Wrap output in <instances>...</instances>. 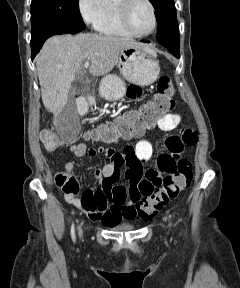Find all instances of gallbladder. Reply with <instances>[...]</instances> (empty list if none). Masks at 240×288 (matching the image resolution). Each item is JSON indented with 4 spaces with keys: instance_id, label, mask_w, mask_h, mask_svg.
I'll list each match as a JSON object with an SVG mask.
<instances>
[{
    "instance_id": "gallbladder-1",
    "label": "gallbladder",
    "mask_w": 240,
    "mask_h": 288,
    "mask_svg": "<svg viewBox=\"0 0 240 288\" xmlns=\"http://www.w3.org/2000/svg\"><path fill=\"white\" fill-rule=\"evenodd\" d=\"M76 115H77V111H76L75 100H74V97L72 96V94L70 93L69 97H68V103L65 106V108L63 109V111L60 114H58L57 121L61 125H66L68 123V121L72 117H75Z\"/></svg>"
}]
</instances>
